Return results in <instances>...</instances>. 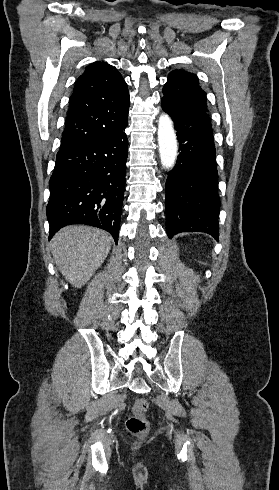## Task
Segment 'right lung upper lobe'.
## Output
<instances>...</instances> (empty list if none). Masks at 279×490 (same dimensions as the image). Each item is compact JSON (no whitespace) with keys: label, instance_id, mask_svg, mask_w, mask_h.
<instances>
[{"label":"right lung upper lobe","instance_id":"obj_1","mask_svg":"<svg viewBox=\"0 0 279 490\" xmlns=\"http://www.w3.org/2000/svg\"><path fill=\"white\" fill-rule=\"evenodd\" d=\"M129 93L119 72L105 62L86 67L70 97L58 153L94 142L128 123Z\"/></svg>","mask_w":279,"mask_h":490}]
</instances>
